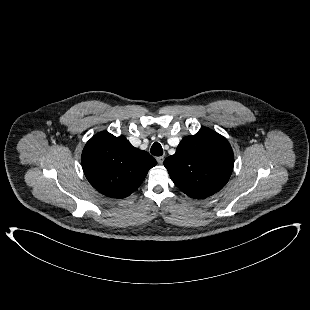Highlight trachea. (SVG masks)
<instances>
[{
  "mask_svg": "<svg viewBox=\"0 0 310 310\" xmlns=\"http://www.w3.org/2000/svg\"><path fill=\"white\" fill-rule=\"evenodd\" d=\"M150 152L154 156H161L163 154V148L158 142H155L152 145Z\"/></svg>",
  "mask_w": 310,
  "mask_h": 310,
  "instance_id": "1",
  "label": "trachea"
}]
</instances>
